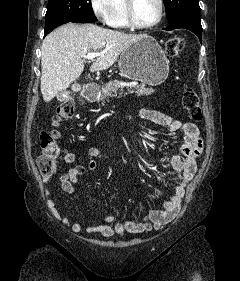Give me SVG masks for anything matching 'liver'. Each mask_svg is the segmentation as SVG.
I'll return each mask as SVG.
<instances>
[{
    "label": "liver",
    "mask_w": 240,
    "mask_h": 281,
    "mask_svg": "<svg viewBox=\"0 0 240 281\" xmlns=\"http://www.w3.org/2000/svg\"><path fill=\"white\" fill-rule=\"evenodd\" d=\"M146 35L127 34L94 24L68 23L48 34L41 48L40 89L45 102L68 88L84 70L83 58L94 51L102 53L91 72L106 70L129 46Z\"/></svg>",
    "instance_id": "obj_1"
}]
</instances>
